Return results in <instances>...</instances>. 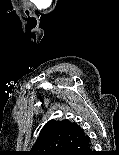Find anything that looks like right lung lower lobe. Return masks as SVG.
Instances as JSON below:
<instances>
[{
  "label": "right lung lower lobe",
  "mask_w": 119,
  "mask_h": 155,
  "mask_svg": "<svg viewBox=\"0 0 119 155\" xmlns=\"http://www.w3.org/2000/svg\"><path fill=\"white\" fill-rule=\"evenodd\" d=\"M62 155H92L90 138L85 135L73 143Z\"/></svg>",
  "instance_id": "98d812e1"
}]
</instances>
